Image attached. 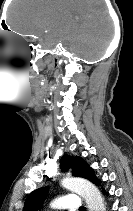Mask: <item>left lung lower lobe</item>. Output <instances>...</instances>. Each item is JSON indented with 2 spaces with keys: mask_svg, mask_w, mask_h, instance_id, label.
<instances>
[{
  "mask_svg": "<svg viewBox=\"0 0 133 211\" xmlns=\"http://www.w3.org/2000/svg\"><path fill=\"white\" fill-rule=\"evenodd\" d=\"M103 193L108 196V193L105 190H103Z\"/></svg>",
  "mask_w": 133,
  "mask_h": 211,
  "instance_id": "obj_1",
  "label": "left lung lower lobe"
}]
</instances>
